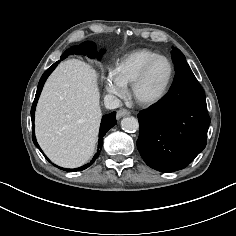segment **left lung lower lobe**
I'll return each instance as SVG.
<instances>
[{
    "mask_svg": "<svg viewBox=\"0 0 236 236\" xmlns=\"http://www.w3.org/2000/svg\"><path fill=\"white\" fill-rule=\"evenodd\" d=\"M137 148L161 172L187 167L205 148L210 117L204 90L190 67L176 71L169 92L138 114Z\"/></svg>",
    "mask_w": 236,
    "mask_h": 236,
    "instance_id": "obj_1",
    "label": "left lung lower lobe"
}]
</instances>
